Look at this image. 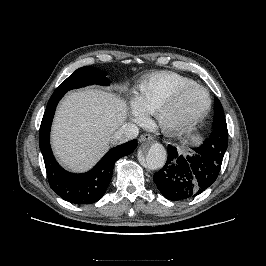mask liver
I'll use <instances>...</instances> for the list:
<instances>
[{
    "mask_svg": "<svg viewBox=\"0 0 266 266\" xmlns=\"http://www.w3.org/2000/svg\"><path fill=\"white\" fill-rule=\"evenodd\" d=\"M127 104L99 89L73 91L60 103L52 128V147L60 163L76 172L91 168L108 150L127 118Z\"/></svg>",
    "mask_w": 266,
    "mask_h": 266,
    "instance_id": "1",
    "label": "liver"
}]
</instances>
